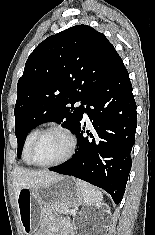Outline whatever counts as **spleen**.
Returning <instances> with one entry per match:
<instances>
[{
  "mask_svg": "<svg viewBox=\"0 0 155 235\" xmlns=\"http://www.w3.org/2000/svg\"><path fill=\"white\" fill-rule=\"evenodd\" d=\"M76 184L81 190L83 201L87 205H95L102 201L103 194L96 187L79 179L76 180Z\"/></svg>",
  "mask_w": 155,
  "mask_h": 235,
  "instance_id": "3e777b00",
  "label": "spleen"
}]
</instances>
